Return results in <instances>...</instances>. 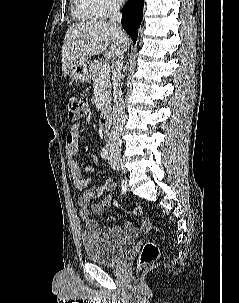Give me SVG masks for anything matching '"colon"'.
Wrapping results in <instances>:
<instances>
[{"mask_svg":"<svg viewBox=\"0 0 239 303\" xmlns=\"http://www.w3.org/2000/svg\"><path fill=\"white\" fill-rule=\"evenodd\" d=\"M68 119L71 122H77L88 115V105L86 102L78 97L71 96L67 101ZM132 212L137 216H144V211L141 207H133ZM159 250L157 245L153 241H148L142 248L139 258L138 265L146 266L158 259Z\"/></svg>","mask_w":239,"mask_h":303,"instance_id":"1","label":"colon"}]
</instances>
